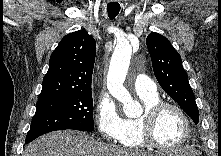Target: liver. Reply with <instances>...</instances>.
Returning <instances> with one entry per match:
<instances>
[{
	"instance_id": "liver-1",
	"label": "liver",
	"mask_w": 221,
	"mask_h": 156,
	"mask_svg": "<svg viewBox=\"0 0 221 156\" xmlns=\"http://www.w3.org/2000/svg\"><path fill=\"white\" fill-rule=\"evenodd\" d=\"M185 154H197L183 149ZM24 156H150L142 152L115 147L95 141L86 133L60 130L45 134L32 143Z\"/></svg>"
}]
</instances>
